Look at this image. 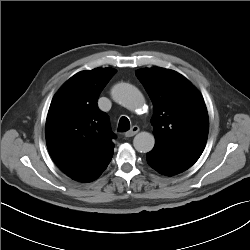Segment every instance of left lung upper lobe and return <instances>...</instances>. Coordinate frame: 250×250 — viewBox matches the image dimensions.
<instances>
[{
  "instance_id": "1",
  "label": "left lung upper lobe",
  "mask_w": 250,
  "mask_h": 250,
  "mask_svg": "<svg viewBox=\"0 0 250 250\" xmlns=\"http://www.w3.org/2000/svg\"><path fill=\"white\" fill-rule=\"evenodd\" d=\"M136 76L153 103L154 147L201 155L207 142L209 120L199 91L184 76L165 68L139 69Z\"/></svg>"
}]
</instances>
